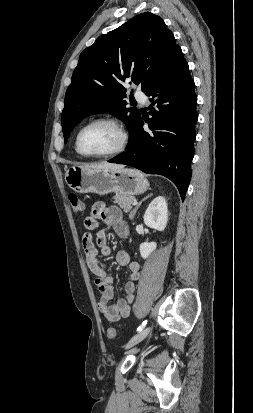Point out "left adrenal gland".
<instances>
[{
    "mask_svg": "<svg viewBox=\"0 0 253 413\" xmlns=\"http://www.w3.org/2000/svg\"><path fill=\"white\" fill-rule=\"evenodd\" d=\"M150 196H152V193L147 195L146 197H144L135 207V209L133 210V212L130 214V217L133 218L136 214V211L138 210V208L140 207V205L142 204L143 201H145L147 198H149Z\"/></svg>",
    "mask_w": 253,
    "mask_h": 413,
    "instance_id": "1",
    "label": "left adrenal gland"
}]
</instances>
